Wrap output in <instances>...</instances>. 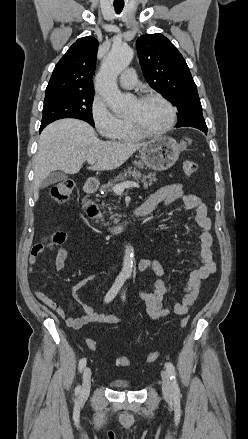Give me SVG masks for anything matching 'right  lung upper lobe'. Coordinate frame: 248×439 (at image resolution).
Segmentation results:
<instances>
[{
	"mask_svg": "<svg viewBox=\"0 0 248 439\" xmlns=\"http://www.w3.org/2000/svg\"><path fill=\"white\" fill-rule=\"evenodd\" d=\"M98 41L91 36L78 39L56 64L45 94L94 91Z\"/></svg>",
	"mask_w": 248,
	"mask_h": 439,
	"instance_id": "1",
	"label": "right lung upper lobe"
}]
</instances>
